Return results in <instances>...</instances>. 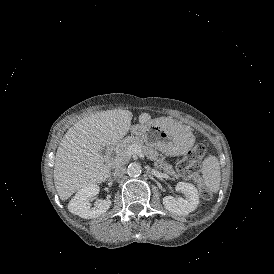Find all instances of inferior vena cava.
I'll return each instance as SVG.
<instances>
[{
	"instance_id": "602c4592",
	"label": "inferior vena cava",
	"mask_w": 274,
	"mask_h": 274,
	"mask_svg": "<svg viewBox=\"0 0 274 274\" xmlns=\"http://www.w3.org/2000/svg\"><path fill=\"white\" fill-rule=\"evenodd\" d=\"M126 173H127V169L125 166H119L114 170L115 177H123V175Z\"/></svg>"
}]
</instances>
